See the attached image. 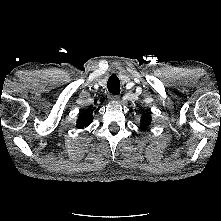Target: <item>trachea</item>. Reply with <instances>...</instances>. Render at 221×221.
I'll return each instance as SVG.
<instances>
[{"label":"trachea","instance_id":"trachea-1","mask_svg":"<svg viewBox=\"0 0 221 221\" xmlns=\"http://www.w3.org/2000/svg\"><path fill=\"white\" fill-rule=\"evenodd\" d=\"M108 91L114 95L120 93V81L119 78L114 74L111 75L107 82Z\"/></svg>","mask_w":221,"mask_h":221}]
</instances>
